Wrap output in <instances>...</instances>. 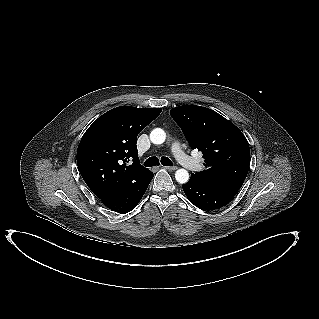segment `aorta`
I'll return each mask as SVG.
<instances>
[{
  "label": "aorta",
  "mask_w": 319,
  "mask_h": 319,
  "mask_svg": "<svg viewBox=\"0 0 319 319\" xmlns=\"http://www.w3.org/2000/svg\"><path fill=\"white\" fill-rule=\"evenodd\" d=\"M166 139V133L161 128H155L150 133V140L153 144H162ZM175 179L177 182L184 184L189 180V173L185 169H178L175 172Z\"/></svg>",
  "instance_id": "aorta-1"
}]
</instances>
